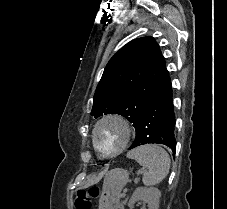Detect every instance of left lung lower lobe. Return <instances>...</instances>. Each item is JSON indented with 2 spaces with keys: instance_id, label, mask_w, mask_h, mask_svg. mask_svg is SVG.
Instances as JSON below:
<instances>
[{
  "instance_id": "0a47b994",
  "label": "left lung lower lobe",
  "mask_w": 227,
  "mask_h": 209,
  "mask_svg": "<svg viewBox=\"0 0 227 209\" xmlns=\"http://www.w3.org/2000/svg\"><path fill=\"white\" fill-rule=\"evenodd\" d=\"M175 114L171 83L151 101L136 126V137L129 149L140 145L158 143L168 146L175 152Z\"/></svg>"
}]
</instances>
